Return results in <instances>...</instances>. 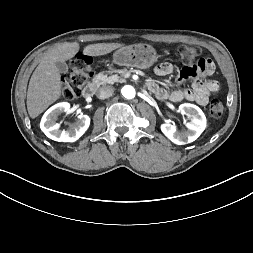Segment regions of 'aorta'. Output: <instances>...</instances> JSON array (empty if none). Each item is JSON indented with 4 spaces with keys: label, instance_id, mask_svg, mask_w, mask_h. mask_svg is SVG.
<instances>
[{
    "label": "aorta",
    "instance_id": "aorta-1",
    "mask_svg": "<svg viewBox=\"0 0 253 253\" xmlns=\"http://www.w3.org/2000/svg\"><path fill=\"white\" fill-rule=\"evenodd\" d=\"M121 93L127 99H132L136 95V91H135L134 87H132L130 85L124 86L121 90Z\"/></svg>",
    "mask_w": 253,
    "mask_h": 253
}]
</instances>
